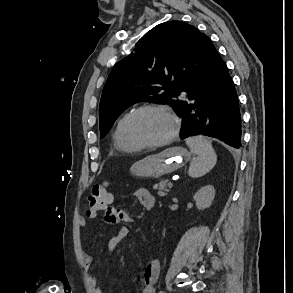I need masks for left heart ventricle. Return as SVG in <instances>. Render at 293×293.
I'll list each match as a JSON object with an SVG mask.
<instances>
[{
	"mask_svg": "<svg viewBox=\"0 0 293 293\" xmlns=\"http://www.w3.org/2000/svg\"><path fill=\"white\" fill-rule=\"evenodd\" d=\"M171 129V121L164 113L159 111H146L135 118L132 133L138 140L156 142L165 138Z\"/></svg>",
	"mask_w": 293,
	"mask_h": 293,
	"instance_id": "obj_1",
	"label": "left heart ventricle"
}]
</instances>
